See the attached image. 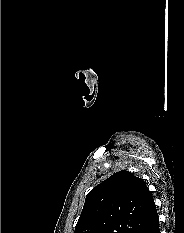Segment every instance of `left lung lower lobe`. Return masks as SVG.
Masks as SVG:
<instances>
[{"instance_id": "0a47b994", "label": "left lung lower lobe", "mask_w": 184, "mask_h": 233, "mask_svg": "<svg viewBox=\"0 0 184 233\" xmlns=\"http://www.w3.org/2000/svg\"><path fill=\"white\" fill-rule=\"evenodd\" d=\"M139 233H160L159 219L154 201Z\"/></svg>"}]
</instances>
